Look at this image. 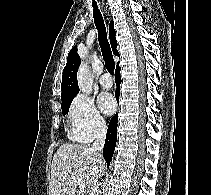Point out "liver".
<instances>
[{"label":"liver","instance_id":"6515ba94","mask_svg":"<svg viewBox=\"0 0 211 195\" xmlns=\"http://www.w3.org/2000/svg\"><path fill=\"white\" fill-rule=\"evenodd\" d=\"M104 169L99 152L86 144H63L54 154L49 195H76L78 179L89 195L94 180Z\"/></svg>","mask_w":211,"mask_h":195}]
</instances>
